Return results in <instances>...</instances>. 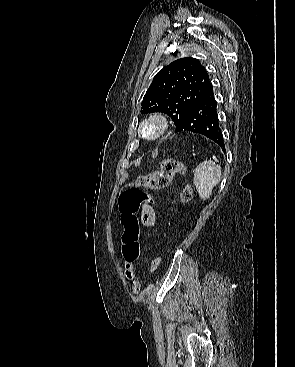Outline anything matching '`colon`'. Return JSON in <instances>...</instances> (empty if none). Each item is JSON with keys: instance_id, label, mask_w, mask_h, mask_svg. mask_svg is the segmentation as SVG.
I'll list each match as a JSON object with an SVG mask.
<instances>
[{"instance_id": "colon-1", "label": "colon", "mask_w": 295, "mask_h": 367, "mask_svg": "<svg viewBox=\"0 0 295 367\" xmlns=\"http://www.w3.org/2000/svg\"><path fill=\"white\" fill-rule=\"evenodd\" d=\"M185 172L184 164L177 159H165L161 162L157 170L148 175L139 176L134 182L129 184L119 197V210L121 214V225L123 227V254L129 260H134L139 254V226L137 211L140 204L149 206L158 205L156 194L144 193V190H162L167 188L176 174ZM192 188L186 185L179 194L180 204H185L191 200ZM144 199V200H143ZM143 200V201H142ZM160 259L155 258L151 262V267L157 269Z\"/></svg>"}]
</instances>
